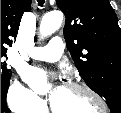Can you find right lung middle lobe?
<instances>
[{"label":"right lung middle lobe","instance_id":"right-lung-middle-lobe-1","mask_svg":"<svg viewBox=\"0 0 121 113\" xmlns=\"http://www.w3.org/2000/svg\"><path fill=\"white\" fill-rule=\"evenodd\" d=\"M6 56V52H1V93L2 90H7L9 87V80H10V71L11 69H8L6 67L5 61H3V57Z\"/></svg>","mask_w":121,"mask_h":113}]
</instances>
